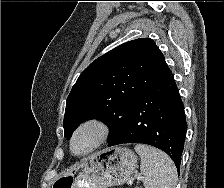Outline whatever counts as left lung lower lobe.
I'll return each instance as SVG.
<instances>
[{"label": "left lung lower lobe", "instance_id": "obj_1", "mask_svg": "<svg viewBox=\"0 0 224 188\" xmlns=\"http://www.w3.org/2000/svg\"><path fill=\"white\" fill-rule=\"evenodd\" d=\"M186 131L183 103L170 70L140 94L122 127L108 140V146H155L173 159L179 172Z\"/></svg>", "mask_w": 224, "mask_h": 188}]
</instances>
